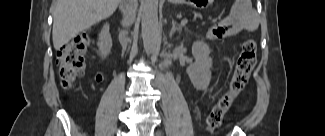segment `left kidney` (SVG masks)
<instances>
[{"label":"left kidney","mask_w":325,"mask_h":136,"mask_svg":"<svg viewBox=\"0 0 325 136\" xmlns=\"http://www.w3.org/2000/svg\"><path fill=\"white\" fill-rule=\"evenodd\" d=\"M211 50L204 41H195L192 45V55L195 62L187 68V74L198 90H206L211 81L212 59Z\"/></svg>","instance_id":"5707ae66"}]
</instances>
